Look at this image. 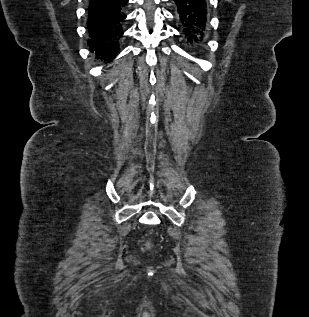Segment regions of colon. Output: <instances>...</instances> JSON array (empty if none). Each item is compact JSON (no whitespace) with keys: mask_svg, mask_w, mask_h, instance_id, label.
Returning <instances> with one entry per match:
<instances>
[{"mask_svg":"<svg viewBox=\"0 0 309 317\" xmlns=\"http://www.w3.org/2000/svg\"><path fill=\"white\" fill-rule=\"evenodd\" d=\"M146 246L149 247V243H146Z\"/></svg>","mask_w":309,"mask_h":317,"instance_id":"5ec220e1","label":"colon"}]
</instances>
